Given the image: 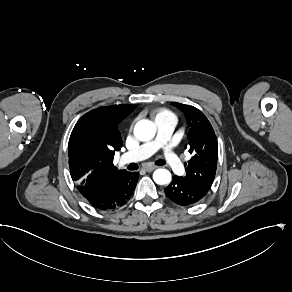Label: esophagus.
<instances>
[{"label":"esophagus","instance_id":"1","mask_svg":"<svg viewBox=\"0 0 292 292\" xmlns=\"http://www.w3.org/2000/svg\"><path fill=\"white\" fill-rule=\"evenodd\" d=\"M157 167L156 166H153V165H146L143 167V169L146 171V172H151L153 170H155Z\"/></svg>","mask_w":292,"mask_h":292}]
</instances>
